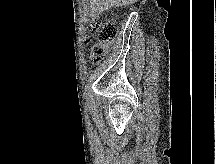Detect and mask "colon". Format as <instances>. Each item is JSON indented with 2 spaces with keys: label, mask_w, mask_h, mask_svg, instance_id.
I'll return each instance as SVG.
<instances>
[{
  "label": "colon",
  "mask_w": 216,
  "mask_h": 164,
  "mask_svg": "<svg viewBox=\"0 0 216 164\" xmlns=\"http://www.w3.org/2000/svg\"><path fill=\"white\" fill-rule=\"evenodd\" d=\"M90 29L97 35V41L91 48L90 58L94 63H99L106 57L109 46L116 38V23L113 21L101 22L93 20L90 23Z\"/></svg>",
  "instance_id": "5ec220e1"
}]
</instances>
